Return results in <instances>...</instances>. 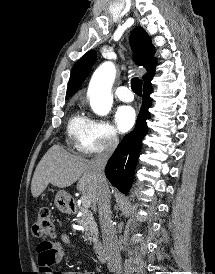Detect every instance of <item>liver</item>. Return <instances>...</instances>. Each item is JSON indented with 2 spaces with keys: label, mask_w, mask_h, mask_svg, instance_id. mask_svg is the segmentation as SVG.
<instances>
[{
  "label": "liver",
  "mask_w": 215,
  "mask_h": 274,
  "mask_svg": "<svg viewBox=\"0 0 215 274\" xmlns=\"http://www.w3.org/2000/svg\"><path fill=\"white\" fill-rule=\"evenodd\" d=\"M77 183V189L85 193L90 201L97 202L98 183L91 161L71 154L59 145L52 146L36 167L31 193L37 198L49 183L59 188Z\"/></svg>",
  "instance_id": "liver-1"
}]
</instances>
